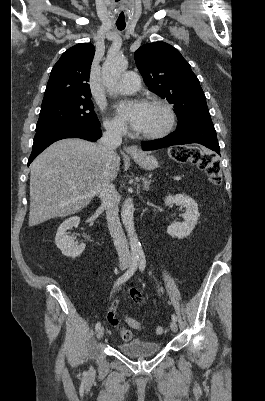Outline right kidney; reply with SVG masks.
Listing matches in <instances>:
<instances>
[{
	"mask_svg": "<svg viewBox=\"0 0 265 401\" xmlns=\"http://www.w3.org/2000/svg\"><path fill=\"white\" fill-rule=\"evenodd\" d=\"M80 223V217H70V219H66L61 223L60 227H58V231L56 233L55 241L58 249L62 251V255L65 257H79L81 253H83L85 249L84 243H74L72 241V237H69L67 231L72 229V227H77Z\"/></svg>",
	"mask_w": 265,
	"mask_h": 401,
	"instance_id": "right-kidney-1",
	"label": "right kidney"
}]
</instances>
